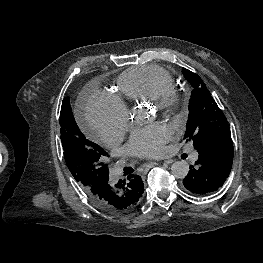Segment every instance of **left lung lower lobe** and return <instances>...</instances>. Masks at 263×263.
<instances>
[{
    "label": "left lung lower lobe",
    "mask_w": 263,
    "mask_h": 263,
    "mask_svg": "<svg viewBox=\"0 0 263 263\" xmlns=\"http://www.w3.org/2000/svg\"><path fill=\"white\" fill-rule=\"evenodd\" d=\"M199 158L183 180L185 188L195 195L217 191L228 178L233 162L231 136L218 137L198 150Z\"/></svg>",
    "instance_id": "left-lung-lower-lobe-1"
}]
</instances>
